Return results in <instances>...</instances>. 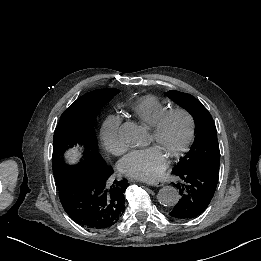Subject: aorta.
Returning a JSON list of instances; mask_svg holds the SVG:
<instances>
[{"label": "aorta", "instance_id": "obj_1", "mask_svg": "<svg viewBox=\"0 0 261 261\" xmlns=\"http://www.w3.org/2000/svg\"><path fill=\"white\" fill-rule=\"evenodd\" d=\"M119 138L129 146H140L144 141L145 131L141 126L133 122H125L119 129ZM179 197L178 190L173 186H164L157 194L158 202L166 207L176 205Z\"/></svg>", "mask_w": 261, "mask_h": 261}]
</instances>
